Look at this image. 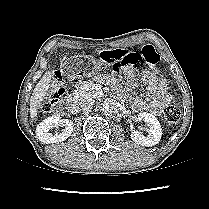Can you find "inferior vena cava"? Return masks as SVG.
I'll return each mask as SVG.
<instances>
[{"instance_id": "inferior-vena-cava-1", "label": "inferior vena cava", "mask_w": 209, "mask_h": 209, "mask_svg": "<svg viewBox=\"0 0 209 209\" xmlns=\"http://www.w3.org/2000/svg\"><path fill=\"white\" fill-rule=\"evenodd\" d=\"M95 105V100L92 98H83L80 100L79 106L82 110L90 111Z\"/></svg>"}]
</instances>
